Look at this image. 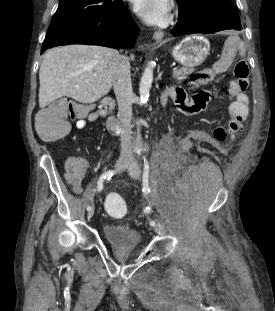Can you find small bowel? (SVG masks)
<instances>
[{"label": "small bowel", "instance_id": "c3829d8e", "mask_svg": "<svg viewBox=\"0 0 275 311\" xmlns=\"http://www.w3.org/2000/svg\"><path fill=\"white\" fill-rule=\"evenodd\" d=\"M226 44L220 60L211 61V69H199L198 73H193V80L197 82L193 81V86L189 88L191 97L182 87L174 86L164 91L162 102L172 99L182 113L189 115L208 108L212 101L211 93L202 90L201 87H206L207 83L212 81L218 72H226L227 67H233L234 57H246L247 54L241 41H237L235 38H228ZM229 92L230 97H232V102L228 107L229 124L227 126L226 122H215V132L211 134L213 143H228L229 139L233 137L232 133H241L242 123L248 115L249 99L247 94L239 89L237 81L230 83ZM105 116L106 112L101 109L84 114L76 121V127L84 129L88 122H95ZM68 154L71 156L73 153L70 151ZM63 164L64 167H68L63 171L64 179L69 180L74 193L80 194L82 188L76 180H84V172L87 169L86 161L75 156L72 160H64Z\"/></svg>", "mask_w": 275, "mask_h": 311}]
</instances>
